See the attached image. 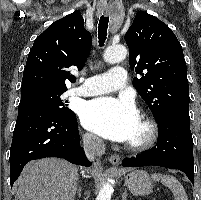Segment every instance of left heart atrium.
Returning <instances> with one entry per match:
<instances>
[{"label": "left heart atrium", "instance_id": "1", "mask_svg": "<svg viewBox=\"0 0 201 200\" xmlns=\"http://www.w3.org/2000/svg\"><path fill=\"white\" fill-rule=\"evenodd\" d=\"M80 117L87 129L117 142H128L140 119L133 101L112 97H101L85 103Z\"/></svg>", "mask_w": 201, "mask_h": 200}]
</instances>
